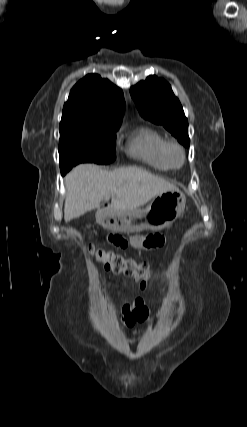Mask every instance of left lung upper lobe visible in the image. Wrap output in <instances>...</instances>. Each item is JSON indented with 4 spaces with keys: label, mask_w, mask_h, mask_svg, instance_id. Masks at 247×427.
<instances>
[{
    "label": "left lung upper lobe",
    "mask_w": 247,
    "mask_h": 427,
    "mask_svg": "<svg viewBox=\"0 0 247 427\" xmlns=\"http://www.w3.org/2000/svg\"><path fill=\"white\" fill-rule=\"evenodd\" d=\"M130 92L141 116L163 125L180 143L189 147L188 120L168 82L149 76L131 87Z\"/></svg>",
    "instance_id": "1"
}]
</instances>
